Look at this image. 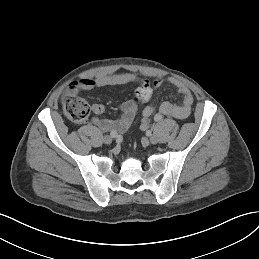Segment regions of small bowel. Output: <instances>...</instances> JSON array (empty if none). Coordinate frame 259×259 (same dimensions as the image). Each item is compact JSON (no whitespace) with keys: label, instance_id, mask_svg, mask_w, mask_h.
Returning a JSON list of instances; mask_svg holds the SVG:
<instances>
[{"label":"small bowel","instance_id":"small-bowel-1","mask_svg":"<svg viewBox=\"0 0 259 259\" xmlns=\"http://www.w3.org/2000/svg\"><path fill=\"white\" fill-rule=\"evenodd\" d=\"M139 81V78L133 73H120L108 76H102L96 79H85L76 85H71L68 88V94H77L79 90H93L105 86L114 85H129ZM147 81V80H145ZM169 82L176 87L178 93L182 96L181 104H174L172 102H163L159 111L166 116H171L177 119H185L191 114L192 104L194 97L191 91L179 80L169 79ZM164 84V80L157 79L153 82L154 88H159ZM91 110L95 114H102L105 111V107L102 104H92ZM122 115L117 120L111 119H98L94 117L92 119L100 129L103 131H114L116 133H124L130 127L134 117L136 115L137 106L133 100L125 101L121 105ZM154 113L153 106H146L142 112V118L140 121L143 129L148 128L151 122V117Z\"/></svg>","mask_w":259,"mask_h":259}]
</instances>
